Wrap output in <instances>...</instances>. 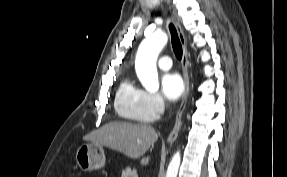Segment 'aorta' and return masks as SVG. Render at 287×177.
Here are the masks:
<instances>
[{
    "mask_svg": "<svg viewBox=\"0 0 287 177\" xmlns=\"http://www.w3.org/2000/svg\"><path fill=\"white\" fill-rule=\"evenodd\" d=\"M167 41L166 33L157 31L144 39L138 48L135 69L141 84L148 91L155 92L159 88L156 61ZM180 161V152L178 151L168 165L166 177H177Z\"/></svg>",
    "mask_w": 287,
    "mask_h": 177,
    "instance_id": "762f6f07",
    "label": "aorta"
}]
</instances>
